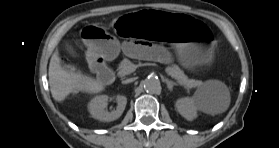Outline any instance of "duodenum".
<instances>
[{"instance_id": "obj_1", "label": "duodenum", "mask_w": 279, "mask_h": 148, "mask_svg": "<svg viewBox=\"0 0 279 148\" xmlns=\"http://www.w3.org/2000/svg\"><path fill=\"white\" fill-rule=\"evenodd\" d=\"M90 68L104 82H109L113 78V74L109 69L107 62L102 58H92L90 60Z\"/></svg>"}]
</instances>
